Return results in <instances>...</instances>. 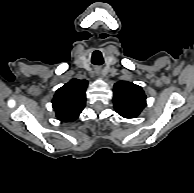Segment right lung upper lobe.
Returning <instances> with one entry per match:
<instances>
[{
    "label": "right lung upper lobe",
    "instance_id": "obj_1",
    "mask_svg": "<svg viewBox=\"0 0 194 193\" xmlns=\"http://www.w3.org/2000/svg\"><path fill=\"white\" fill-rule=\"evenodd\" d=\"M87 85L86 80L72 79L56 91L52 105L60 121L71 122L78 118L85 106Z\"/></svg>",
    "mask_w": 194,
    "mask_h": 193
}]
</instances>
